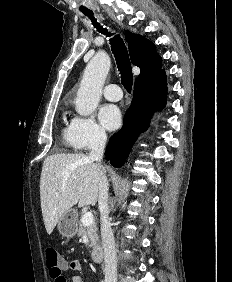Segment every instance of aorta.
Instances as JSON below:
<instances>
[{
    "label": "aorta",
    "instance_id": "762f6f07",
    "mask_svg": "<svg viewBox=\"0 0 232 282\" xmlns=\"http://www.w3.org/2000/svg\"><path fill=\"white\" fill-rule=\"evenodd\" d=\"M110 64V58L105 52H98L87 64L75 100L78 114L87 116L95 111Z\"/></svg>",
    "mask_w": 232,
    "mask_h": 282
}]
</instances>
